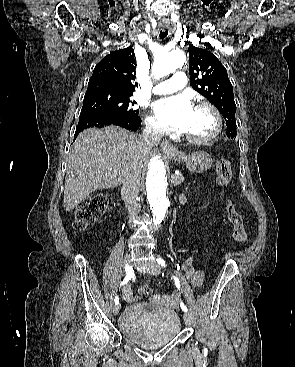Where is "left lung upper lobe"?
I'll return each instance as SVG.
<instances>
[{
  "label": "left lung upper lobe",
  "instance_id": "5c2ea615",
  "mask_svg": "<svg viewBox=\"0 0 295 367\" xmlns=\"http://www.w3.org/2000/svg\"><path fill=\"white\" fill-rule=\"evenodd\" d=\"M190 84L206 97L222 114L227 125V136H237L233 87L226 68L212 53L189 45Z\"/></svg>",
  "mask_w": 295,
  "mask_h": 367
}]
</instances>
